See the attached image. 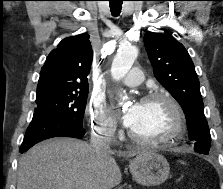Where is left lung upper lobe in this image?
I'll return each mask as SVG.
<instances>
[{
	"mask_svg": "<svg viewBox=\"0 0 223 189\" xmlns=\"http://www.w3.org/2000/svg\"><path fill=\"white\" fill-rule=\"evenodd\" d=\"M144 45L156 79L177 100L186 116L195 152L207 155L210 131L204 115L200 84L185 47L171 35L147 32Z\"/></svg>",
	"mask_w": 223,
	"mask_h": 189,
	"instance_id": "5c2ea615",
	"label": "left lung upper lobe"
}]
</instances>
